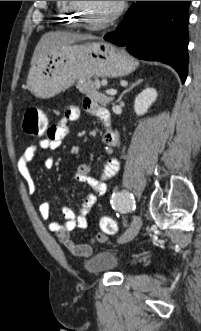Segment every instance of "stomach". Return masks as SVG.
I'll return each instance as SVG.
<instances>
[{
  "label": "stomach",
  "mask_w": 201,
  "mask_h": 331,
  "mask_svg": "<svg viewBox=\"0 0 201 331\" xmlns=\"http://www.w3.org/2000/svg\"><path fill=\"white\" fill-rule=\"evenodd\" d=\"M137 67V60L104 41L66 44L32 65L28 86L36 97L47 99L65 91L76 80L123 77Z\"/></svg>",
  "instance_id": "stomach-1"
}]
</instances>
